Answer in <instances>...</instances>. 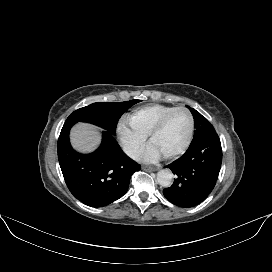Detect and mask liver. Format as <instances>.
Masks as SVG:
<instances>
[{
  "mask_svg": "<svg viewBox=\"0 0 272 272\" xmlns=\"http://www.w3.org/2000/svg\"><path fill=\"white\" fill-rule=\"evenodd\" d=\"M101 136L96 127L78 123L71 131V143L80 152H91L98 147Z\"/></svg>",
  "mask_w": 272,
  "mask_h": 272,
  "instance_id": "obj_1",
  "label": "liver"
}]
</instances>
